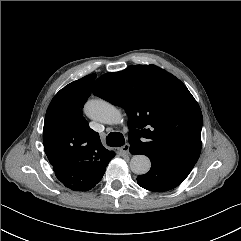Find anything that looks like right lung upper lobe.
I'll return each instance as SVG.
<instances>
[{
  "label": "right lung upper lobe",
  "mask_w": 241,
  "mask_h": 241,
  "mask_svg": "<svg viewBox=\"0 0 241 241\" xmlns=\"http://www.w3.org/2000/svg\"><path fill=\"white\" fill-rule=\"evenodd\" d=\"M95 74L66 85L52 99L43 128L44 150L52 164L62 162L105 163L114 153L101 144L89 127L82 108L91 94Z\"/></svg>",
  "instance_id": "cb5924a9"
}]
</instances>
